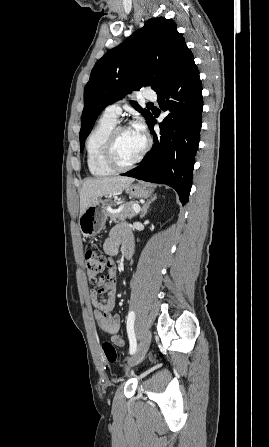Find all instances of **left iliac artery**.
I'll use <instances>...</instances> for the list:
<instances>
[{
  "mask_svg": "<svg viewBox=\"0 0 269 447\" xmlns=\"http://www.w3.org/2000/svg\"><path fill=\"white\" fill-rule=\"evenodd\" d=\"M134 320H135V313L131 311L127 316V333L130 342V350H129L130 354H134L137 348L136 337L134 333Z\"/></svg>",
  "mask_w": 269,
  "mask_h": 447,
  "instance_id": "left-iliac-artery-1",
  "label": "left iliac artery"
}]
</instances>
